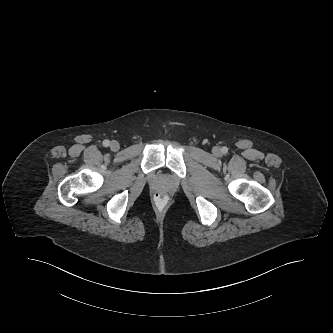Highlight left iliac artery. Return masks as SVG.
Returning <instances> with one entry per match:
<instances>
[{"label":"left iliac artery","mask_w":333,"mask_h":333,"mask_svg":"<svg viewBox=\"0 0 333 333\" xmlns=\"http://www.w3.org/2000/svg\"><path fill=\"white\" fill-rule=\"evenodd\" d=\"M222 152L223 153H227L228 152V148L227 147H222Z\"/></svg>","instance_id":"left-iliac-artery-1"}]
</instances>
